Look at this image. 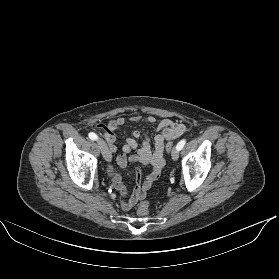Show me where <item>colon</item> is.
I'll return each mask as SVG.
<instances>
[{"label":"colon","mask_w":279,"mask_h":279,"mask_svg":"<svg viewBox=\"0 0 279 279\" xmlns=\"http://www.w3.org/2000/svg\"><path fill=\"white\" fill-rule=\"evenodd\" d=\"M105 128H106V130H114L115 129L114 124H110ZM172 147H173V142L168 141L167 144H166V151L170 152ZM137 213L140 216H146L149 213V203L148 202L140 203V205L137 209Z\"/></svg>","instance_id":"5ec220e1"}]
</instances>
